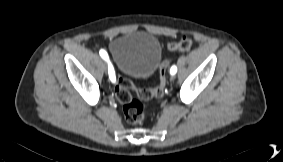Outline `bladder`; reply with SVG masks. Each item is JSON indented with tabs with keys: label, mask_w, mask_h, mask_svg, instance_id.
Returning a JSON list of instances; mask_svg holds the SVG:
<instances>
[{
	"label": "bladder",
	"mask_w": 283,
	"mask_h": 162,
	"mask_svg": "<svg viewBox=\"0 0 283 162\" xmlns=\"http://www.w3.org/2000/svg\"><path fill=\"white\" fill-rule=\"evenodd\" d=\"M109 49L116 68L137 79L152 76L162 58L158 38L147 32L120 35L110 42Z\"/></svg>",
	"instance_id": "bladder-1"
}]
</instances>
